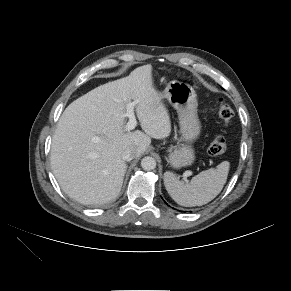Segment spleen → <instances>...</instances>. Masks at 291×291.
<instances>
[{
    "instance_id": "spleen-1",
    "label": "spleen",
    "mask_w": 291,
    "mask_h": 291,
    "mask_svg": "<svg viewBox=\"0 0 291 291\" xmlns=\"http://www.w3.org/2000/svg\"><path fill=\"white\" fill-rule=\"evenodd\" d=\"M230 163L200 172L190 182L180 181L172 172L164 173V185L171 198L185 207L202 206L212 201L226 183Z\"/></svg>"
}]
</instances>
